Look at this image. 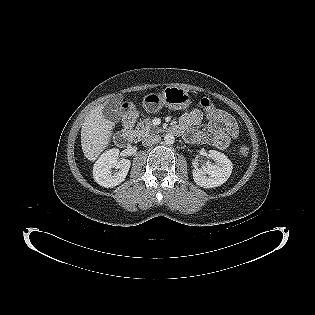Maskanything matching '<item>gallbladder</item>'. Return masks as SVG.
Returning <instances> with one entry per match:
<instances>
[{
    "mask_svg": "<svg viewBox=\"0 0 315 315\" xmlns=\"http://www.w3.org/2000/svg\"><path fill=\"white\" fill-rule=\"evenodd\" d=\"M103 115L106 119L113 122H119L120 120L118 111L116 110V103L112 101L105 105L103 109Z\"/></svg>",
    "mask_w": 315,
    "mask_h": 315,
    "instance_id": "bac80fb5",
    "label": "gallbladder"
}]
</instances>
